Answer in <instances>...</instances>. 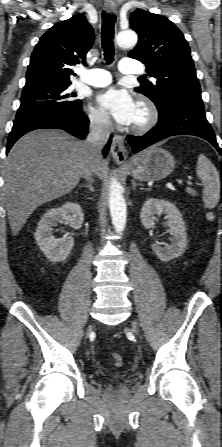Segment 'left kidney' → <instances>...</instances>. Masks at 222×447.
Listing matches in <instances>:
<instances>
[{
  "mask_svg": "<svg viewBox=\"0 0 222 447\" xmlns=\"http://www.w3.org/2000/svg\"><path fill=\"white\" fill-rule=\"evenodd\" d=\"M164 213L167 218L169 233L172 235L170 244L156 242L151 249L161 261H170L181 256L187 245V235L185 223L179 210L171 202L164 199H148L140 213L142 225L146 229L154 228L155 215Z\"/></svg>",
  "mask_w": 222,
  "mask_h": 447,
  "instance_id": "left-kidney-1",
  "label": "left kidney"
}]
</instances>
